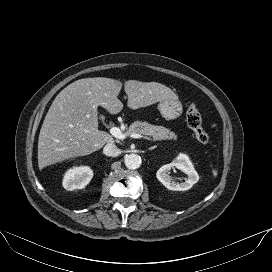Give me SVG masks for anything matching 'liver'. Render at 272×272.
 Here are the masks:
<instances>
[{
	"instance_id": "6515ba94",
	"label": "liver",
	"mask_w": 272,
	"mask_h": 272,
	"mask_svg": "<svg viewBox=\"0 0 272 272\" xmlns=\"http://www.w3.org/2000/svg\"><path fill=\"white\" fill-rule=\"evenodd\" d=\"M121 88L119 80L105 77L84 78L65 87L54 99L40 130L39 169L113 144L110 134L98 130L97 109L102 106L110 114H118L123 109L118 99ZM124 90L127 106L133 110L177 99L169 87L158 82L128 80Z\"/></svg>"
}]
</instances>
